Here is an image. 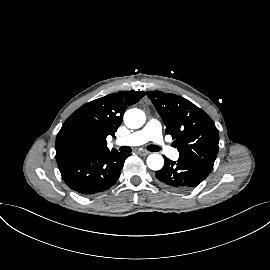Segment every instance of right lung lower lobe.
Instances as JSON below:
<instances>
[{
    "label": "right lung lower lobe",
    "mask_w": 270,
    "mask_h": 270,
    "mask_svg": "<svg viewBox=\"0 0 270 270\" xmlns=\"http://www.w3.org/2000/svg\"><path fill=\"white\" fill-rule=\"evenodd\" d=\"M129 156L115 149L92 152L57 162L64 182L80 194H95L113 186Z\"/></svg>",
    "instance_id": "obj_1"
}]
</instances>
